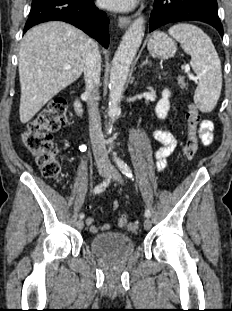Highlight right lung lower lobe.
<instances>
[{
  "instance_id": "obj_1",
  "label": "right lung lower lobe",
  "mask_w": 232,
  "mask_h": 311,
  "mask_svg": "<svg viewBox=\"0 0 232 311\" xmlns=\"http://www.w3.org/2000/svg\"><path fill=\"white\" fill-rule=\"evenodd\" d=\"M53 20L78 27L105 48L109 45L107 15L96 8L93 0H33L24 33L34 25Z\"/></svg>"
}]
</instances>
